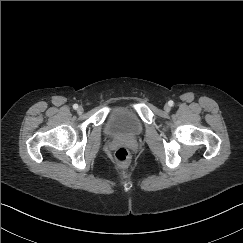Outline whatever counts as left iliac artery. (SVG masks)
Listing matches in <instances>:
<instances>
[{"label": "left iliac artery", "instance_id": "44dca946", "mask_svg": "<svg viewBox=\"0 0 243 243\" xmlns=\"http://www.w3.org/2000/svg\"><path fill=\"white\" fill-rule=\"evenodd\" d=\"M168 104H169V106H173V105H174V102H173L172 100H170V101L168 102Z\"/></svg>", "mask_w": 243, "mask_h": 243}]
</instances>
